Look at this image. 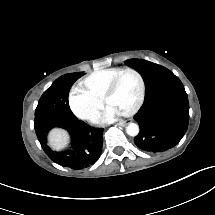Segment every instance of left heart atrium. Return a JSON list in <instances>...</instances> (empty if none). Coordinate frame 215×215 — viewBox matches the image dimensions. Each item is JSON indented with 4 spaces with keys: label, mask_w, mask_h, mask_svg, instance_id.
<instances>
[{
    "label": "left heart atrium",
    "mask_w": 215,
    "mask_h": 215,
    "mask_svg": "<svg viewBox=\"0 0 215 215\" xmlns=\"http://www.w3.org/2000/svg\"><path fill=\"white\" fill-rule=\"evenodd\" d=\"M122 113V110L118 107L114 100L108 99L107 105L102 109L101 119L106 121L118 116Z\"/></svg>",
    "instance_id": "1"
}]
</instances>
